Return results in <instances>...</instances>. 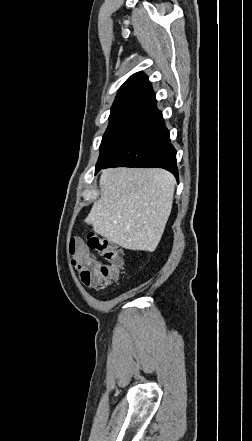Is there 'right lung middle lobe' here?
Masks as SVG:
<instances>
[{
  "instance_id": "1",
  "label": "right lung middle lobe",
  "mask_w": 252,
  "mask_h": 441,
  "mask_svg": "<svg viewBox=\"0 0 252 441\" xmlns=\"http://www.w3.org/2000/svg\"><path fill=\"white\" fill-rule=\"evenodd\" d=\"M147 102L132 103L111 109L109 125L100 145L96 166L108 161L130 134L142 116Z\"/></svg>"
}]
</instances>
